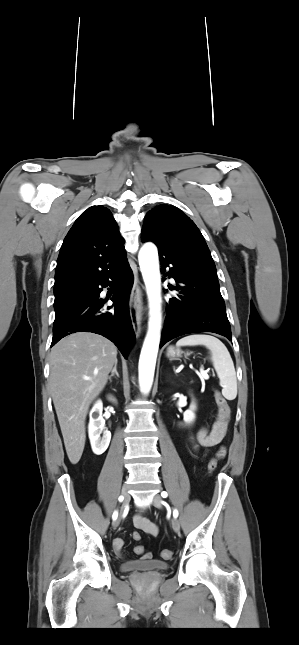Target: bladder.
<instances>
[{
  "label": "bladder",
  "mask_w": 299,
  "mask_h": 645,
  "mask_svg": "<svg viewBox=\"0 0 299 645\" xmlns=\"http://www.w3.org/2000/svg\"><path fill=\"white\" fill-rule=\"evenodd\" d=\"M122 572H157L169 569V564L158 559L132 560L120 565Z\"/></svg>",
  "instance_id": "31cf9c89"
}]
</instances>
